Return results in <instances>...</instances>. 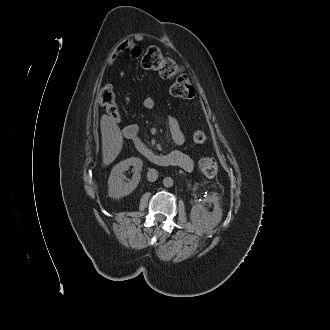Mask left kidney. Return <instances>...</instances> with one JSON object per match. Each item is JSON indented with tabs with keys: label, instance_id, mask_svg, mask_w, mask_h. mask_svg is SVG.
Instances as JSON below:
<instances>
[{
	"label": "left kidney",
	"instance_id": "obj_1",
	"mask_svg": "<svg viewBox=\"0 0 330 330\" xmlns=\"http://www.w3.org/2000/svg\"><path fill=\"white\" fill-rule=\"evenodd\" d=\"M207 200L214 204L212 212L207 211L202 204L198 203L192 207L190 213L193 225L202 233H208L215 228L221 222L223 215L216 197H208Z\"/></svg>",
	"mask_w": 330,
	"mask_h": 330
}]
</instances>
